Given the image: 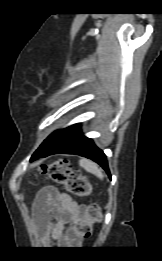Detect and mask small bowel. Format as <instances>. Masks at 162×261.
I'll return each instance as SVG.
<instances>
[{"label":"small bowel","instance_id":"small-bowel-1","mask_svg":"<svg viewBox=\"0 0 162 261\" xmlns=\"http://www.w3.org/2000/svg\"><path fill=\"white\" fill-rule=\"evenodd\" d=\"M84 209V205L53 186L42 188L34 203L37 225L47 230L55 244L76 240L75 225Z\"/></svg>","mask_w":162,"mask_h":261}]
</instances>
